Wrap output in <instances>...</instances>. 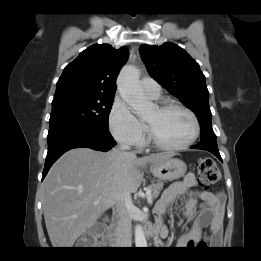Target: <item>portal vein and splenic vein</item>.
Masks as SVG:
<instances>
[{
	"label": "portal vein and splenic vein",
	"instance_id": "18ae733b",
	"mask_svg": "<svg viewBox=\"0 0 261 261\" xmlns=\"http://www.w3.org/2000/svg\"><path fill=\"white\" fill-rule=\"evenodd\" d=\"M146 195H147V201L151 205L153 203V201H152V197H151V190L149 188L146 190Z\"/></svg>",
	"mask_w": 261,
	"mask_h": 261
}]
</instances>
